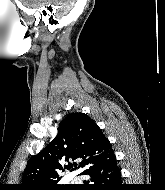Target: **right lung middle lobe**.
<instances>
[{"instance_id":"1","label":"right lung middle lobe","mask_w":165,"mask_h":190,"mask_svg":"<svg viewBox=\"0 0 165 190\" xmlns=\"http://www.w3.org/2000/svg\"><path fill=\"white\" fill-rule=\"evenodd\" d=\"M71 187L72 186H70V187H60V188H57L55 190H71Z\"/></svg>"}]
</instances>
